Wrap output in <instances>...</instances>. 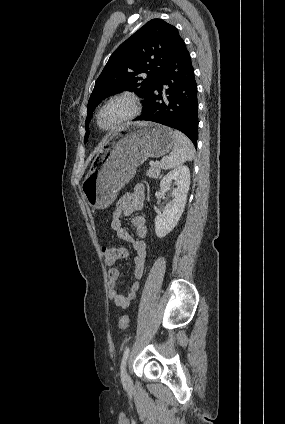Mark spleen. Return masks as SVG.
I'll use <instances>...</instances> for the list:
<instances>
[{"instance_id":"3e777b00","label":"spleen","mask_w":285,"mask_h":424,"mask_svg":"<svg viewBox=\"0 0 285 424\" xmlns=\"http://www.w3.org/2000/svg\"><path fill=\"white\" fill-rule=\"evenodd\" d=\"M174 146L171 154L162 158L160 166L164 169L179 167L194 157V146L190 139L179 131H173Z\"/></svg>"}]
</instances>
